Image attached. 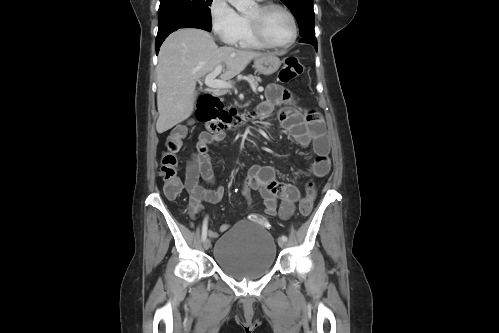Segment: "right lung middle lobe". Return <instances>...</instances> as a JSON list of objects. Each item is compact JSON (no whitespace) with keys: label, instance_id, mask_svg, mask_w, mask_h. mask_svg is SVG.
Instances as JSON below:
<instances>
[{"label":"right lung middle lobe","instance_id":"obj_1","mask_svg":"<svg viewBox=\"0 0 499 333\" xmlns=\"http://www.w3.org/2000/svg\"><path fill=\"white\" fill-rule=\"evenodd\" d=\"M211 3L212 0H160L158 34L193 26L211 29Z\"/></svg>","mask_w":499,"mask_h":333}]
</instances>
